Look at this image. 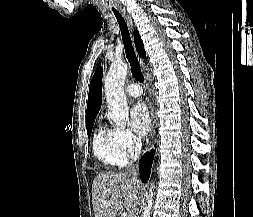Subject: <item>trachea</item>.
Listing matches in <instances>:
<instances>
[{
  "instance_id": "trachea-1",
  "label": "trachea",
  "mask_w": 253,
  "mask_h": 217,
  "mask_svg": "<svg viewBox=\"0 0 253 217\" xmlns=\"http://www.w3.org/2000/svg\"><path fill=\"white\" fill-rule=\"evenodd\" d=\"M112 11L118 21V24H119V27L121 30L125 54H126V57L130 63V66H131L132 76L136 80H138L140 83H142L144 78H143V75H142V72H141V69L139 66L138 59H137L136 54L134 52V48L132 45V41H131V37H130V33L128 30L127 24H126L125 20L123 19V17L120 15V13L116 9H112Z\"/></svg>"
}]
</instances>
